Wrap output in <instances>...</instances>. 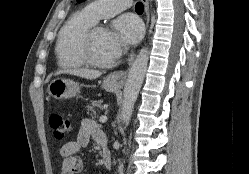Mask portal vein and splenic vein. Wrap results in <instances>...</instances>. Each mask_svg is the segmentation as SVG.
<instances>
[{"label": "portal vein and splenic vein", "mask_w": 249, "mask_h": 174, "mask_svg": "<svg viewBox=\"0 0 249 174\" xmlns=\"http://www.w3.org/2000/svg\"><path fill=\"white\" fill-rule=\"evenodd\" d=\"M99 121H100L101 123H105V122L107 121V116H105V115L100 116Z\"/></svg>", "instance_id": "18ae733b"}]
</instances>
